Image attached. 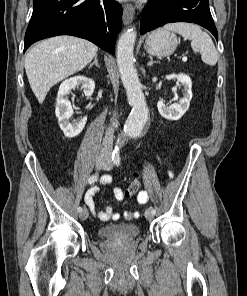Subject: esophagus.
<instances>
[{"mask_svg": "<svg viewBox=\"0 0 247 296\" xmlns=\"http://www.w3.org/2000/svg\"><path fill=\"white\" fill-rule=\"evenodd\" d=\"M134 13H135L134 7L131 4L124 5L123 23L125 25L131 24V22L133 21V18H134Z\"/></svg>", "mask_w": 247, "mask_h": 296, "instance_id": "obj_1", "label": "esophagus"}]
</instances>
